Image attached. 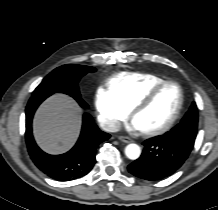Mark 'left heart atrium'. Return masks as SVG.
<instances>
[{
	"mask_svg": "<svg viewBox=\"0 0 218 210\" xmlns=\"http://www.w3.org/2000/svg\"><path fill=\"white\" fill-rule=\"evenodd\" d=\"M130 129L133 130V131H140L139 127L134 122V120H132V122L130 123Z\"/></svg>",
	"mask_w": 218,
	"mask_h": 210,
	"instance_id": "obj_1",
	"label": "left heart atrium"
}]
</instances>
